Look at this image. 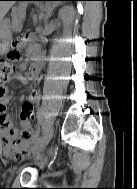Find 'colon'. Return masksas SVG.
<instances>
[{
  "label": "colon",
  "instance_id": "5ec220e1",
  "mask_svg": "<svg viewBox=\"0 0 137 189\" xmlns=\"http://www.w3.org/2000/svg\"><path fill=\"white\" fill-rule=\"evenodd\" d=\"M17 59H19L17 51H11L6 58H0V87L11 78L13 74V62Z\"/></svg>",
  "mask_w": 137,
  "mask_h": 189
}]
</instances>
